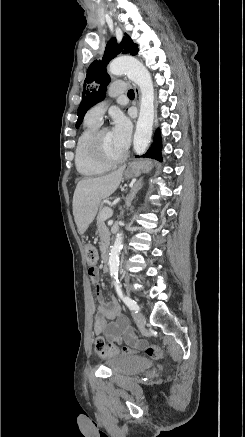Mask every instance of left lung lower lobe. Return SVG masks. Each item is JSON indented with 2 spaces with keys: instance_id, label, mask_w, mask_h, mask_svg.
Masks as SVG:
<instances>
[{
  "instance_id": "1",
  "label": "left lung lower lobe",
  "mask_w": 245,
  "mask_h": 437,
  "mask_svg": "<svg viewBox=\"0 0 245 437\" xmlns=\"http://www.w3.org/2000/svg\"><path fill=\"white\" fill-rule=\"evenodd\" d=\"M161 146L162 145H161L160 131L158 129L154 136V143L152 144L151 148L143 155V157L162 160Z\"/></svg>"
}]
</instances>
